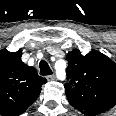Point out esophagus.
Returning a JSON list of instances; mask_svg holds the SVG:
<instances>
[{
    "instance_id": "34e87169",
    "label": "esophagus",
    "mask_w": 116,
    "mask_h": 116,
    "mask_svg": "<svg viewBox=\"0 0 116 116\" xmlns=\"http://www.w3.org/2000/svg\"><path fill=\"white\" fill-rule=\"evenodd\" d=\"M47 80H48V81H55V80H56L55 74H52V75H50V76H47Z\"/></svg>"
}]
</instances>
